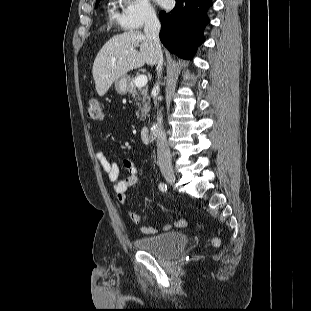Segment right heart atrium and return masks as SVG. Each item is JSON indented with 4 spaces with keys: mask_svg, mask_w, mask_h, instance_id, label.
Instances as JSON below:
<instances>
[{
    "mask_svg": "<svg viewBox=\"0 0 311 311\" xmlns=\"http://www.w3.org/2000/svg\"><path fill=\"white\" fill-rule=\"evenodd\" d=\"M121 10L115 13L116 23L126 31H136L152 23L156 12L149 0H119Z\"/></svg>",
    "mask_w": 311,
    "mask_h": 311,
    "instance_id": "d8ad5b80",
    "label": "right heart atrium"
}]
</instances>
